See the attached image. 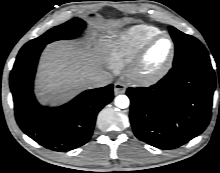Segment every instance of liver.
<instances>
[{
  "label": "liver",
  "mask_w": 220,
  "mask_h": 173,
  "mask_svg": "<svg viewBox=\"0 0 220 173\" xmlns=\"http://www.w3.org/2000/svg\"><path fill=\"white\" fill-rule=\"evenodd\" d=\"M117 25V21L95 24L92 39L98 31ZM101 71L102 57L98 46L72 41L52 42L40 57L35 83L37 99L43 105L63 104L82 90L90 89L91 77Z\"/></svg>",
  "instance_id": "1"
}]
</instances>
